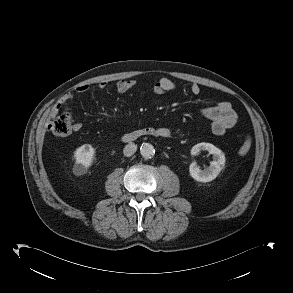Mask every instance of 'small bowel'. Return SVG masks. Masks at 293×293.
Returning a JSON list of instances; mask_svg holds the SVG:
<instances>
[{
    "mask_svg": "<svg viewBox=\"0 0 293 293\" xmlns=\"http://www.w3.org/2000/svg\"><path fill=\"white\" fill-rule=\"evenodd\" d=\"M136 85L135 80H122L117 82L115 89L119 94H125L131 89H133ZM98 89L104 90L107 87L106 82H100L97 84ZM176 88V84L168 79V78H160L153 85V93L156 95H162L166 92L172 91ZM89 90L88 85H81L75 89V91H71L67 93L62 102L70 101L74 98L75 93L82 94L86 93ZM190 91L193 95H199L201 92L200 86L197 83H193L190 87ZM57 107H55V110ZM200 113L212 121V132L215 135H223L227 130L234 127L237 122V115L231 104L226 101L217 102L212 106H206L200 109ZM82 128L80 123H74L72 125L73 132H79ZM161 137L167 138L171 135V130L167 127H159L156 129Z\"/></svg>",
    "mask_w": 293,
    "mask_h": 293,
    "instance_id": "obj_1",
    "label": "small bowel"
}]
</instances>
